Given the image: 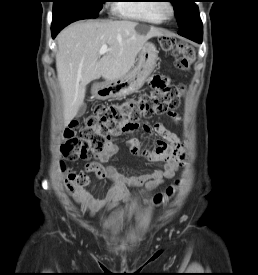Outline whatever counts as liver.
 Here are the masks:
<instances>
[{
	"label": "liver",
	"mask_w": 258,
	"mask_h": 275,
	"mask_svg": "<svg viewBox=\"0 0 258 275\" xmlns=\"http://www.w3.org/2000/svg\"><path fill=\"white\" fill-rule=\"evenodd\" d=\"M163 33L135 21H79L62 30L57 37L56 68L64 103L67 126L83 104L86 86L103 77L106 81L126 75L135 64L142 46ZM102 45L108 51L99 58Z\"/></svg>",
	"instance_id": "1"
}]
</instances>
